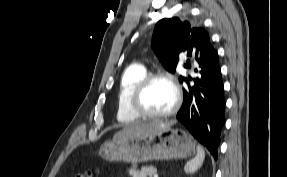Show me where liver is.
<instances>
[{
  "label": "liver",
  "instance_id": "1",
  "mask_svg": "<svg viewBox=\"0 0 287 177\" xmlns=\"http://www.w3.org/2000/svg\"><path fill=\"white\" fill-rule=\"evenodd\" d=\"M175 124L174 121L162 122V121H150L146 123H136L130 126H126L121 131L114 135V138H128L136 136H145L156 133L162 129L171 127Z\"/></svg>",
  "mask_w": 287,
  "mask_h": 177
}]
</instances>
